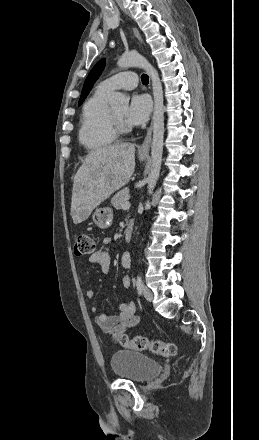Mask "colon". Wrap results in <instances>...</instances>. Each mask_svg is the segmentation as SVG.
Returning <instances> with one entry per match:
<instances>
[{
	"mask_svg": "<svg viewBox=\"0 0 259 440\" xmlns=\"http://www.w3.org/2000/svg\"><path fill=\"white\" fill-rule=\"evenodd\" d=\"M95 248L92 237L87 233H78L75 237L74 251L75 254L87 255L93 253ZM120 343L125 348H131L136 350H148L156 355L169 357L175 354V345L169 342L161 340H152L143 336H134L132 338L127 335H122Z\"/></svg>",
	"mask_w": 259,
	"mask_h": 440,
	"instance_id": "colon-1",
	"label": "colon"
}]
</instances>
